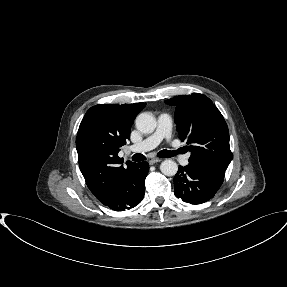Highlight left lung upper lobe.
<instances>
[{
    "label": "left lung upper lobe",
    "instance_id": "obj_1",
    "mask_svg": "<svg viewBox=\"0 0 287 287\" xmlns=\"http://www.w3.org/2000/svg\"><path fill=\"white\" fill-rule=\"evenodd\" d=\"M176 107L175 123L180 139L191 152L189 163L226 171L233 156L227 124L212 101L203 94L181 95L165 101Z\"/></svg>",
    "mask_w": 287,
    "mask_h": 287
}]
</instances>
